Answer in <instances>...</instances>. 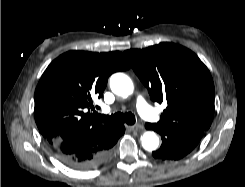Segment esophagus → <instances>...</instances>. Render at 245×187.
Wrapping results in <instances>:
<instances>
[{
	"instance_id": "34e87169",
	"label": "esophagus",
	"mask_w": 245,
	"mask_h": 187,
	"mask_svg": "<svg viewBox=\"0 0 245 187\" xmlns=\"http://www.w3.org/2000/svg\"><path fill=\"white\" fill-rule=\"evenodd\" d=\"M127 129H129L130 131H139L143 129L142 125H133V126H126Z\"/></svg>"
}]
</instances>
